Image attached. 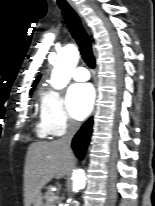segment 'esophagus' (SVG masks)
<instances>
[{"mask_svg":"<svg viewBox=\"0 0 155 206\" xmlns=\"http://www.w3.org/2000/svg\"><path fill=\"white\" fill-rule=\"evenodd\" d=\"M67 1H68L69 5L73 8V10H74L78 15H80L77 5H76L72 0H67Z\"/></svg>","mask_w":155,"mask_h":206,"instance_id":"1","label":"esophagus"}]
</instances>
